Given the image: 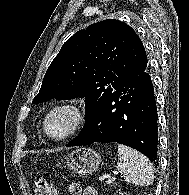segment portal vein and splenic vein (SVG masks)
Returning <instances> with one entry per match:
<instances>
[{
	"label": "portal vein and splenic vein",
	"instance_id": "portal-vein-and-splenic-vein-1",
	"mask_svg": "<svg viewBox=\"0 0 189 195\" xmlns=\"http://www.w3.org/2000/svg\"><path fill=\"white\" fill-rule=\"evenodd\" d=\"M105 180V177L104 176H100L99 177V181H104Z\"/></svg>",
	"mask_w": 189,
	"mask_h": 195
}]
</instances>
